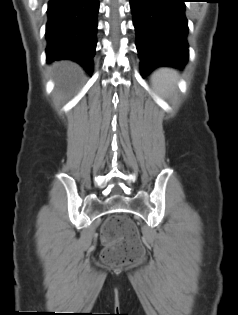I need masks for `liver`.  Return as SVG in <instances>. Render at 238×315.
<instances>
[{
  "mask_svg": "<svg viewBox=\"0 0 238 315\" xmlns=\"http://www.w3.org/2000/svg\"><path fill=\"white\" fill-rule=\"evenodd\" d=\"M52 70L56 87L61 91L76 86L83 76L81 67L71 61L55 62Z\"/></svg>",
  "mask_w": 238,
  "mask_h": 315,
  "instance_id": "obj_1",
  "label": "liver"
}]
</instances>
